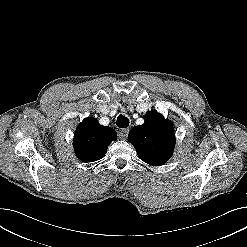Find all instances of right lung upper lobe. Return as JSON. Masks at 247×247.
<instances>
[{
    "label": "right lung upper lobe",
    "mask_w": 247,
    "mask_h": 247,
    "mask_svg": "<svg viewBox=\"0 0 247 247\" xmlns=\"http://www.w3.org/2000/svg\"><path fill=\"white\" fill-rule=\"evenodd\" d=\"M117 139L116 131L102 126L95 118H86L77 127L74 135V149L84 162H94L104 157L108 145Z\"/></svg>",
    "instance_id": "right-lung-upper-lobe-1"
}]
</instances>
